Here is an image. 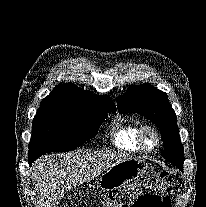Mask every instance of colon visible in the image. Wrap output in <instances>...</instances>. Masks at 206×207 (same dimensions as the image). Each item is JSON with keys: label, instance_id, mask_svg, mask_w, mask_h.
<instances>
[{"label": "colon", "instance_id": "obj_1", "mask_svg": "<svg viewBox=\"0 0 206 207\" xmlns=\"http://www.w3.org/2000/svg\"><path fill=\"white\" fill-rule=\"evenodd\" d=\"M172 192L170 175L159 171L137 180L126 190L109 193L105 207H170Z\"/></svg>", "mask_w": 206, "mask_h": 207}]
</instances>
